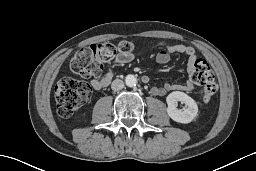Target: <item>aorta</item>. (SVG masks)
<instances>
[{
  "label": "aorta",
  "mask_w": 256,
  "mask_h": 171,
  "mask_svg": "<svg viewBox=\"0 0 256 171\" xmlns=\"http://www.w3.org/2000/svg\"><path fill=\"white\" fill-rule=\"evenodd\" d=\"M125 83L128 87H134L137 84V79L134 75L129 74L125 78Z\"/></svg>",
  "instance_id": "1"
}]
</instances>
